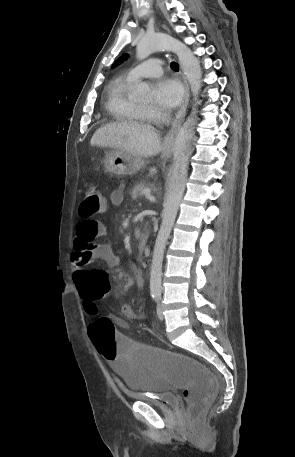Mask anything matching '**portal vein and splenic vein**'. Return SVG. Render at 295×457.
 Instances as JSON below:
<instances>
[{
	"instance_id": "portal-vein-and-splenic-vein-1",
	"label": "portal vein and splenic vein",
	"mask_w": 295,
	"mask_h": 457,
	"mask_svg": "<svg viewBox=\"0 0 295 457\" xmlns=\"http://www.w3.org/2000/svg\"><path fill=\"white\" fill-rule=\"evenodd\" d=\"M150 193H151V190H150L149 188H146V189H144V191H143V195L146 196V197H147V196H150Z\"/></svg>"
}]
</instances>
